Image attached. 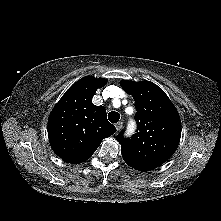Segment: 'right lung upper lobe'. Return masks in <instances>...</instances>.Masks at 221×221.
<instances>
[{"label": "right lung upper lobe", "mask_w": 221, "mask_h": 221, "mask_svg": "<svg viewBox=\"0 0 221 221\" xmlns=\"http://www.w3.org/2000/svg\"><path fill=\"white\" fill-rule=\"evenodd\" d=\"M106 79L86 76L74 83L55 105L48 119V137L53 151L68 163L89 159L103 138L116 132L106 109L92 98Z\"/></svg>", "instance_id": "right-lung-upper-lobe-1"}]
</instances>
